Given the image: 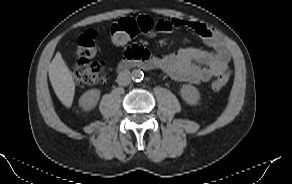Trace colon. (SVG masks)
Listing matches in <instances>:
<instances>
[{"label":"colon","mask_w":292,"mask_h":184,"mask_svg":"<svg viewBox=\"0 0 292 184\" xmlns=\"http://www.w3.org/2000/svg\"><path fill=\"white\" fill-rule=\"evenodd\" d=\"M156 34H158V30L155 20L146 15L122 18L111 27V38L117 45H123L138 35L152 38ZM95 52V33L91 30L86 31L78 39V57L72 69L77 83L91 86L106 80L103 64L91 61ZM230 76L231 72L229 71L222 74L212 82L211 89L213 91L221 90L228 83Z\"/></svg>","instance_id":"obj_1"}]
</instances>
